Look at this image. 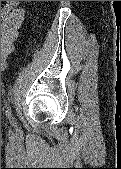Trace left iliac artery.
<instances>
[{
	"label": "left iliac artery",
	"instance_id": "1",
	"mask_svg": "<svg viewBox=\"0 0 121 169\" xmlns=\"http://www.w3.org/2000/svg\"><path fill=\"white\" fill-rule=\"evenodd\" d=\"M8 101H10L9 98H8ZM6 115L9 118V120H11L12 122H14V118L12 117V114H11V108L9 107V102L7 104Z\"/></svg>",
	"mask_w": 121,
	"mask_h": 169
}]
</instances>
